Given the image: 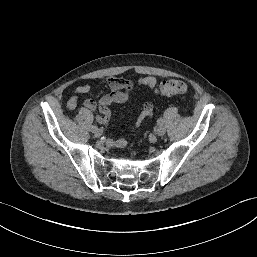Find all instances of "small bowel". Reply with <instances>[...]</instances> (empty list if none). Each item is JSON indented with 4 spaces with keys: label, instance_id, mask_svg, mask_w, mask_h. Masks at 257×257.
I'll return each mask as SVG.
<instances>
[{
    "label": "small bowel",
    "instance_id": "c3829d8e",
    "mask_svg": "<svg viewBox=\"0 0 257 257\" xmlns=\"http://www.w3.org/2000/svg\"><path fill=\"white\" fill-rule=\"evenodd\" d=\"M108 87L111 89V93L104 95L99 100L87 99L83 105L85 108L97 111V121L100 124H107L111 117L110 106L114 103H124L128 100L130 92L134 87V83L131 80L124 78H117L110 76L106 79ZM139 86L153 89L157 85V79L153 76H148L138 80ZM92 90V86L88 83L80 84L75 88V94L67 101V107L69 109H75L78 104V96L86 94ZM153 113V104L146 102L143 104L142 111L138 116L134 129L138 128L145 119L150 118ZM127 141L123 138L118 140H109L108 144L113 147H123Z\"/></svg>",
    "mask_w": 257,
    "mask_h": 257
}]
</instances>
